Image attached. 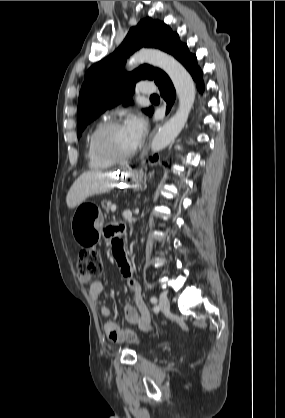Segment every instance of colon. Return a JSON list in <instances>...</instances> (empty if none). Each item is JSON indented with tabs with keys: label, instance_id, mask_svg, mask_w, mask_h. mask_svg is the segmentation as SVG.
<instances>
[{
	"label": "colon",
	"instance_id": "obj_1",
	"mask_svg": "<svg viewBox=\"0 0 285 418\" xmlns=\"http://www.w3.org/2000/svg\"><path fill=\"white\" fill-rule=\"evenodd\" d=\"M113 255L117 262L124 261L126 257L125 245L122 240H118L113 248ZM102 264L98 253L95 250L85 249L79 254L77 262V274L81 277H90L98 275L101 272ZM107 329L113 334L119 332L125 338L132 342H137V335L130 329L119 327L116 329L112 324L107 326Z\"/></svg>",
	"mask_w": 285,
	"mask_h": 418
}]
</instances>
